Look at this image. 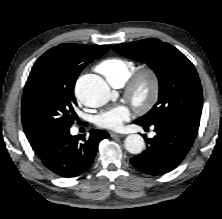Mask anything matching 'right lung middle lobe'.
<instances>
[{"mask_svg": "<svg viewBox=\"0 0 222 219\" xmlns=\"http://www.w3.org/2000/svg\"><path fill=\"white\" fill-rule=\"evenodd\" d=\"M103 54L96 52L78 59L74 52L60 46L44 53L34 64L24 88V129L53 135L68 130L76 116L75 78L88 63Z\"/></svg>", "mask_w": 222, "mask_h": 219, "instance_id": "obj_1", "label": "right lung middle lobe"}]
</instances>
